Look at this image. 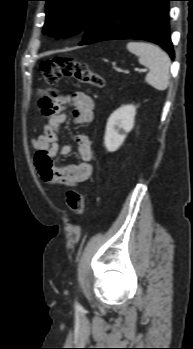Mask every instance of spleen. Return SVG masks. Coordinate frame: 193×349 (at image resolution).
I'll list each match as a JSON object with an SVG mask.
<instances>
[{"label": "spleen", "instance_id": "1", "mask_svg": "<svg viewBox=\"0 0 193 349\" xmlns=\"http://www.w3.org/2000/svg\"><path fill=\"white\" fill-rule=\"evenodd\" d=\"M127 49L149 69L145 81L159 91L166 90L170 79L169 56L160 47L146 42H129Z\"/></svg>", "mask_w": 193, "mask_h": 349}]
</instances>
